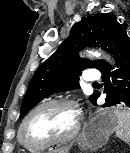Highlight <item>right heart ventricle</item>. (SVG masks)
<instances>
[{"mask_svg":"<svg viewBox=\"0 0 130 153\" xmlns=\"http://www.w3.org/2000/svg\"><path fill=\"white\" fill-rule=\"evenodd\" d=\"M18 139H19V136H18ZM19 142H20V144H21L24 148H26V149H28V150H31V151H38V150L43 149V148H28V147L24 146V145L21 143L20 139H19Z\"/></svg>","mask_w":130,"mask_h":153,"instance_id":"obj_1","label":"right heart ventricle"}]
</instances>
